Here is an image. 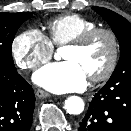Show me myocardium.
<instances>
[{"mask_svg": "<svg viewBox=\"0 0 131 131\" xmlns=\"http://www.w3.org/2000/svg\"><path fill=\"white\" fill-rule=\"evenodd\" d=\"M98 35H104L109 39L111 44V55L106 67L100 73L89 77V80L94 83L108 79L117 67L120 57V42L117 34L109 28L95 27L82 33L66 44V47L82 49Z\"/></svg>", "mask_w": 131, "mask_h": 131, "instance_id": "f54148a6", "label": "myocardium"}]
</instances>
